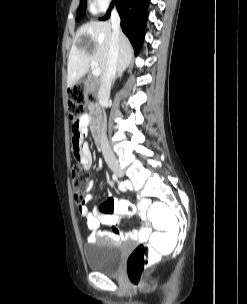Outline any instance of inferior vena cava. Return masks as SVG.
<instances>
[{"label":"inferior vena cava","mask_w":247,"mask_h":304,"mask_svg":"<svg viewBox=\"0 0 247 304\" xmlns=\"http://www.w3.org/2000/svg\"><path fill=\"white\" fill-rule=\"evenodd\" d=\"M111 24H112V35L108 52V59L106 70L101 77L100 88L98 90V101L101 107L107 103L112 82L115 78L116 70H117V59L119 55V34H120V17L116 11L113 9L111 13ZM101 127V149L103 156L107 162V164L111 167L117 166V160L108 144L107 137L105 134V124L104 122H99Z\"/></svg>","instance_id":"obj_1"}]
</instances>
